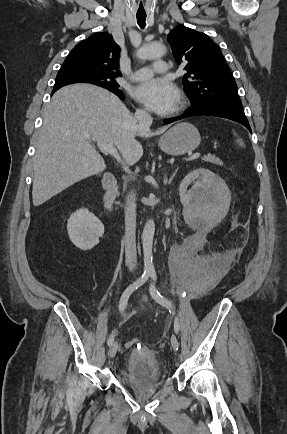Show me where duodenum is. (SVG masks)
Here are the masks:
<instances>
[{"label": "duodenum", "mask_w": 287, "mask_h": 434, "mask_svg": "<svg viewBox=\"0 0 287 434\" xmlns=\"http://www.w3.org/2000/svg\"><path fill=\"white\" fill-rule=\"evenodd\" d=\"M102 182L106 189L102 205L104 210L110 214L113 201L118 193L116 178L113 175H107L103 177Z\"/></svg>", "instance_id": "duodenum-1"}]
</instances>
